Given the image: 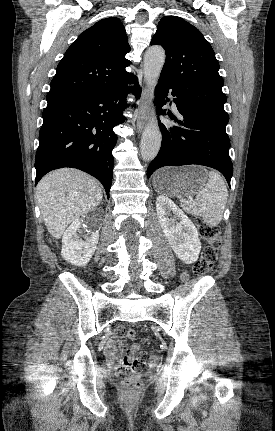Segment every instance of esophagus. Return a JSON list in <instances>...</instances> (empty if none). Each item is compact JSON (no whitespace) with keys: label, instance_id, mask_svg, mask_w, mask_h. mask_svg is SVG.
<instances>
[{"label":"esophagus","instance_id":"esophagus-1","mask_svg":"<svg viewBox=\"0 0 275 431\" xmlns=\"http://www.w3.org/2000/svg\"><path fill=\"white\" fill-rule=\"evenodd\" d=\"M148 90L145 89L142 95V100H141V105L139 107L138 113H137V117H136V127L138 129V131L140 132L147 121V112H148V103H149V99H148Z\"/></svg>","mask_w":275,"mask_h":431}]
</instances>
